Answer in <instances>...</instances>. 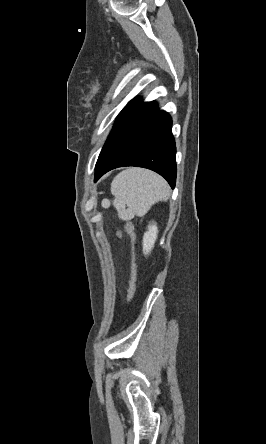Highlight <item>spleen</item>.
I'll return each mask as SVG.
<instances>
[{"instance_id": "1", "label": "spleen", "mask_w": 266, "mask_h": 444, "mask_svg": "<svg viewBox=\"0 0 266 444\" xmlns=\"http://www.w3.org/2000/svg\"><path fill=\"white\" fill-rule=\"evenodd\" d=\"M113 206L123 220L143 217L159 201L166 200L169 186L158 174L142 169L128 168L111 183Z\"/></svg>"}]
</instances>
